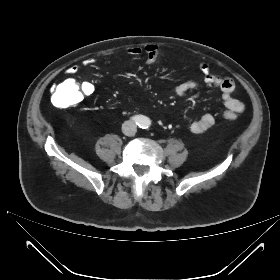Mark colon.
I'll use <instances>...</instances> for the list:
<instances>
[{"label":"colon","instance_id":"colon-1","mask_svg":"<svg viewBox=\"0 0 280 280\" xmlns=\"http://www.w3.org/2000/svg\"><path fill=\"white\" fill-rule=\"evenodd\" d=\"M80 86L71 77H66L58 82L52 91V103L58 108H66L78 104L82 97L80 95ZM228 120L235 119L233 114L224 116Z\"/></svg>","mask_w":280,"mask_h":280}]
</instances>
